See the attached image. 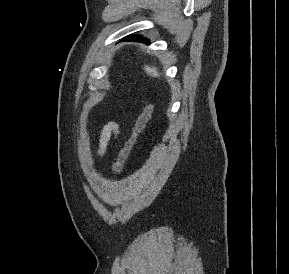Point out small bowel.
<instances>
[{
	"instance_id": "1",
	"label": "small bowel",
	"mask_w": 289,
	"mask_h": 274,
	"mask_svg": "<svg viewBox=\"0 0 289 274\" xmlns=\"http://www.w3.org/2000/svg\"><path fill=\"white\" fill-rule=\"evenodd\" d=\"M120 129L119 125L115 121L107 122L101 130L99 145H98V156L103 157L106 154L107 148L111 140L117 139Z\"/></svg>"
}]
</instances>
